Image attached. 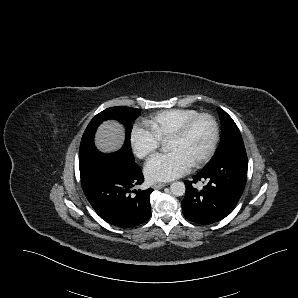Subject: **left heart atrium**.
I'll use <instances>...</instances> for the list:
<instances>
[{"instance_id": "39dd6f15", "label": "left heart atrium", "mask_w": 298, "mask_h": 298, "mask_svg": "<svg viewBox=\"0 0 298 298\" xmlns=\"http://www.w3.org/2000/svg\"><path fill=\"white\" fill-rule=\"evenodd\" d=\"M189 165L175 151L153 155L145 164L144 172L153 181H170L183 175Z\"/></svg>"}]
</instances>
